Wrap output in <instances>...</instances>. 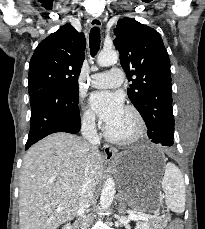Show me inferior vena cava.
Instances as JSON below:
<instances>
[{
    "instance_id": "inferior-vena-cava-1",
    "label": "inferior vena cava",
    "mask_w": 205,
    "mask_h": 229,
    "mask_svg": "<svg viewBox=\"0 0 205 229\" xmlns=\"http://www.w3.org/2000/svg\"><path fill=\"white\" fill-rule=\"evenodd\" d=\"M81 134L83 138L89 142L91 149L93 151H98L100 139L96 130L94 115H88L83 118ZM95 187L96 182L93 177L92 164L89 155L84 171V180L80 192V200L78 206V214L81 217L82 229H87L88 223L90 221V217L87 215V211L92 203Z\"/></svg>"
}]
</instances>
